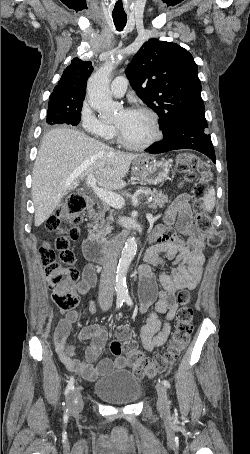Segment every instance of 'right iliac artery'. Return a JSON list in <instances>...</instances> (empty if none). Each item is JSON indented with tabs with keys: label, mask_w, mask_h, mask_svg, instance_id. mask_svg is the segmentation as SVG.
I'll return each instance as SVG.
<instances>
[{
	"label": "right iliac artery",
	"mask_w": 250,
	"mask_h": 454,
	"mask_svg": "<svg viewBox=\"0 0 250 454\" xmlns=\"http://www.w3.org/2000/svg\"><path fill=\"white\" fill-rule=\"evenodd\" d=\"M123 302H124V299H117L116 301V308L119 309L121 308V306L123 305ZM74 389V378L73 376L70 377L69 381H68V384L66 386V389H65V396L67 397V395L69 394V392Z\"/></svg>",
	"instance_id": "82829eb1"
}]
</instances>
